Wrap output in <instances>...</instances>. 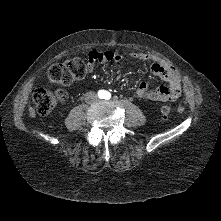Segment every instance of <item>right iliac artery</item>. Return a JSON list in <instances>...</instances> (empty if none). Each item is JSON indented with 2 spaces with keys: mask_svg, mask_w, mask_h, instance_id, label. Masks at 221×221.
<instances>
[{
  "mask_svg": "<svg viewBox=\"0 0 221 221\" xmlns=\"http://www.w3.org/2000/svg\"><path fill=\"white\" fill-rule=\"evenodd\" d=\"M98 96H99L100 98H102V97L104 96V91H102V90L99 91V92H98Z\"/></svg>",
  "mask_w": 221,
  "mask_h": 221,
  "instance_id": "82829eb1",
  "label": "right iliac artery"
}]
</instances>
